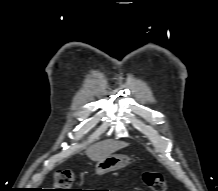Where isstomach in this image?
<instances>
[{"label": "stomach", "instance_id": "1", "mask_svg": "<svg viewBox=\"0 0 218 191\" xmlns=\"http://www.w3.org/2000/svg\"><path fill=\"white\" fill-rule=\"evenodd\" d=\"M130 162V158L125 155H110L97 162L95 166L96 173L99 175L108 172L117 171L126 167Z\"/></svg>", "mask_w": 218, "mask_h": 191}]
</instances>
